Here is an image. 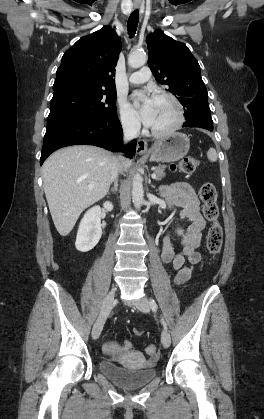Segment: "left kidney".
<instances>
[{
	"instance_id": "5707ae66",
	"label": "left kidney",
	"mask_w": 264,
	"mask_h": 419,
	"mask_svg": "<svg viewBox=\"0 0 264 419\" xmlns=\"http://www.w3.org/2000/svg\"><path fill=\"white\" fill-rule=\"evenodd\" d=\"M177 232H178L179 235H181L183 231L182 230H178Z\"/></svg>"
}]
</instances>
